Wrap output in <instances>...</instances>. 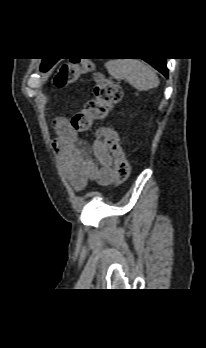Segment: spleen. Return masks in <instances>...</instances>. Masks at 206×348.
I'll return each mask as SVG.
<instances>
[{
	"label": "spleen",
	"instance_id": "spleen-1",
	"mask_svg": "<svg viewBox=\"0 0 206 348\" xmlns=\"http://www.w3.org/2000/svg\"><path fill=\"white\" fill-rule=\"evenodd\" d=\"M108 73L117 80H126L139 91H148L159 85V78L149 65L136 59H118L106 63Z\"/></svg>",
	"mask_w": 206,
	"mask_h": 348
}]
</instances>
